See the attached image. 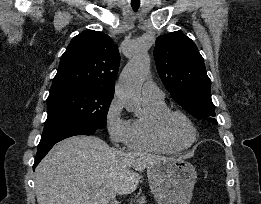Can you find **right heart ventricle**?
Segmentation results:
<instances>
[{
    "instance_id": "obj_1",
    "label": "right heart ventricle",
    "mask_w": 261,
    "mask_h": 204,
    "mask_svg": "<svg viewBox=\"0 0 261 204\" xmlns=\"http://www.w3.org/2000/svg\"><path fill=\"white\" fill-rule=\"evenodd\" d=\"M143 114L129 121L128 146L132 150L172 154L176 150L165 144L156 132V121L169 107L164 99L143 100Z\"/></svg>"
}]
</instances>
